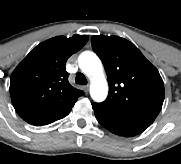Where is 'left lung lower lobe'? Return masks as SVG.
Returning a JSON list of instances; mask_svg holds the SVG:
<instances>
[{"label": "left lung lower lobe", "instance_id": "obj_1", "mask_svg": "<svg viewBox=\"0 0 181 164\" xmlns=\"http://www.w3.org/2000/svg\"><path fill=\"white\" fill-rule=\"evenodd\" d=\"M92 107L98 122L110 132L132 137L142 133L151 123L120 111L112 106L101 103H92Z\"/></svg>", "mask_w": 181, "mask_h": 164}]
</instances>
